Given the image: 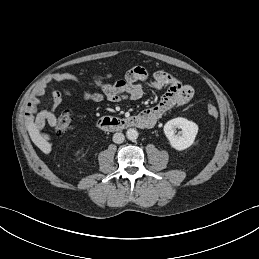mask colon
Returning <instances> with one entry per match:
<instances>
[{
  "label": "colon",
  "mask_w": 259,
  "mask_h": 259,
  "mask_svg": "<svg viewBox=\"0 0 259 259\" xmlns=\"http://www.w3.org/2000/svg\"><path fill=\"white\" fill-rule=\"evenodd\" d=\"M107 80H111V76H97L92 80L93 84L102 85ZM207 112L211 117L218 116V109L213 104H208ZM72 127V115L69 112H62L56 120L54 130L56 133H65Z\"/></svg>",
  "instance_id": "colon-1"
}]
</instances>
